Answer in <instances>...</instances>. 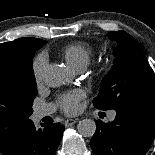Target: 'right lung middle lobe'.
Wrapping results in <instances>:
<instances>
[{"label": "right lung middle lobe", "instance_id": "obj_1", "mask_svg": "<svg viewBox=\"0 0 155 155\" xmlns=\"http://www.w3.org/2000/svg\"><path fill=\"white\" fill-rule=\"evenodd\" d=\"M34 49L20 50L0 58V146L12 144L32 123L29 119L37 96L32 68Z\"/></svg>", "mask_w": 155, "mask_h": 155}]
</instances>
